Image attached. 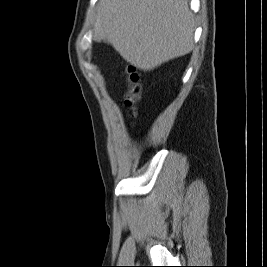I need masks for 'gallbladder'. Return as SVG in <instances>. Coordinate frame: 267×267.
I'll return each mask as SVG.
<instances>
[{"instance_id":"obj_1","label":"gallbladder","mask_w":267,"mask_h":267,"mask_svg":"<svg viewBox=\"0 0 267 267\" xmlns=\"http://www.w3.org/2000/svg\"><path fill=\"white\" fill-rule=\"evenodd\" d=\"M104 42L107 43V44H109V41H108L107 38L104 39Z\"/></svg>"}]
</instances>
